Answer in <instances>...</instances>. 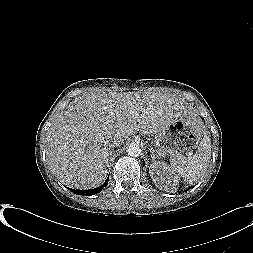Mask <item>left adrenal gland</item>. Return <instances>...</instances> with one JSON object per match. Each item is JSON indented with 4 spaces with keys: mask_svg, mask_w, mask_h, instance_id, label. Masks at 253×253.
<instances>
[{
    "mask_svg": "<svg viewBox=\"0 0 253 253\" xmlns=\"http://www.w3.org/2000/svg\"><path fill=\"white\" fill-rule=\"evenodd\" d=\"M151 157H152L153 160L155 159V158H154V155H153V152H152V154H151Z\"/></svg>",
    "mask_w": 253,
    "mask_h": 253,
    "instance_id": "obj_1",
    "label": "left adrenal gland"
}]
</instances>
